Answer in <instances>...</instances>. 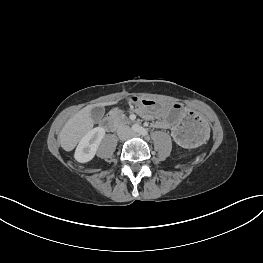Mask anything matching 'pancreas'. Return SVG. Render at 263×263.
Listing matches in <instances>:
<instances>
[{"mask_svg":"<svg viewBox=\"0 0 263 263\" xmlns=\"http://www.w3.org/2000/svg\"><path fill=\"white\" fill-rule=\"evenodd\" d=\"M112 116L116 118L117 123H122L127 121V118L125 116L118 115L117 112L115 111L112 112Z\"/></svg>","mask_w":263,"mask_h":263,"instance_id":"cf45deb5","label":"pancreas"}]
</instances>
